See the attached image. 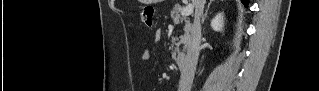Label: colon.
Returning a JSON list of instances; mask_svg holds the SVG:
<instances>
[{
  "mask_svg": "<svg viewBox=\"0 0 319 91\" xmlns=\"http://www.w3.org/2000/svg\"><path fill=\"white\" fill-rule=\"evenodd\" d=\"M154 11L155 9L153 6H146L140 14L142 23L149 28L154 25Z\"/></svg>",
  "mask_w": 319,
  "mask_h": 91,
  "instance_id": "colon-1",
  "label": "colon"
}]
</instances>
